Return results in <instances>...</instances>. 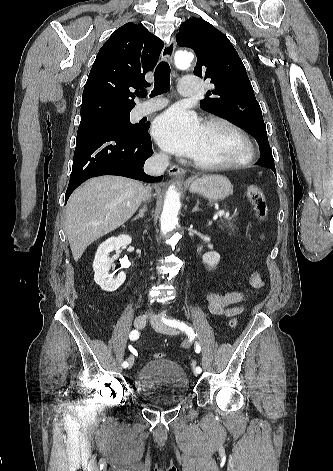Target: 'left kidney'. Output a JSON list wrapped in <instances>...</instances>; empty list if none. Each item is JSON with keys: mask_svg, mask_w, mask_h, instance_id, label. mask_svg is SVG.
I'll use <instances>...</instances> for the list:
<instances>
[{"mask_svg": "<svg viewBox=\"0 0 333 471\" xmlns=\"http://www.w3.org/2000/svg\"><path fill=\"white\" fill-rule=\"evenodd\" d=\"M203 263L209 268L212 269L216 267L220 261V255L219 253L215 251H210L205 253L202 256Z\"/></svg>", "mask_w": 333, "mask_h": 471, "instance_id": "obj_1", "label": "left kidney"}]
</instances>
